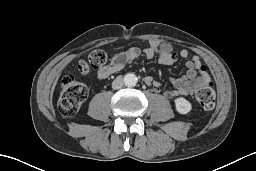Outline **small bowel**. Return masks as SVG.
Instances as JSON below:
<instances>
[{"label":"small bowel","instance_id":"small-bowel-1","mask_svg":"<svg viewBox=\"0 0 256 171\" xmlns=\"http://www.w3.org/2000/svg\"><path fill=\"white\" fill-rule=\"evenodd\" d=\"M140 53L139 48L132 47L115 55L107 64L100 67L97 71L98 81H103L110 75L122 70L133 62ZM144 54L149 59L158 57V61L162 66L172 65L177 60V55L174 53L172 45L159 40H151L147 48H145ZM179 56L183 59H188L189 51L182 49ZM185 68L186 71L183 76L170 79L171 88L164 92L166 98H173L180 95H192L197 89L209 83V75L198 56H192L188 59ZM145 82L155 91H159L161 88V83L153 77H147Z\"/></svg>","mask_w":256,"mask_h":171}]
</instances>
